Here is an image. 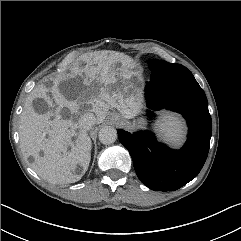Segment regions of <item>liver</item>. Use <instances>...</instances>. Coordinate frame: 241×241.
Segmentation results:
<instances>
[{
  "label": "liver",
  "instance_id": "obj_1",
  "mask_svg": "<svg viewBox=\"0 0 241 241\" xmlns=\"http://www.w3.org/2000/svg\"><path fill=\"white\" fill-rule=\"evenodd\" d=\"M117 65L120 67L116 68ZM132 68L133 60L129 56L115 51H101L92 54L84 68L74 66L69 74L54 79L50 88L40 85L32 91L22 112L19 135L21 149L26 157L34 158L31 167L39 176L51 183L69 184L77 182L85 174L92 148L87 131L79 125L85 112H93L97 124L103 122L110 107L116 108L128 119L139 112L136 96H126L127 88L109 94L117 77H132ZM82 73L85 74L83 85L86 90L74 99H68L60 85L76 84L77 77ZM49 91L57 105L54 113L36 112L33 107L35 99H43L49 108L52 106L47 94ZM64 107L69 110V118L66 119L61 115ZM78 166L81 167L79 173L76 172Z\"/></svg>",
  "mask_w": 241,
  "mask_h": 241
}]
</instances>
